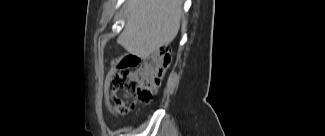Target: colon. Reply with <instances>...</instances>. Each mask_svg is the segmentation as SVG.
<instances>
[{
	"label": "colon",
	"mask_w": 325,
	"mask_h": 136,
	"mask_svg": "<svg viewBox=\"0 0 325 136\" xmlns=\"http://www.w3.org/2000/svg\"><path fill=\"white\" fill-rule=\"evenodd\" d=\"M170 61L165 48L148 56L112 93L115 111L124 115L131 112L137 103H148L160 87Z\"/></svg>",
	"instance_id": "obj_1"
}]
</instances>
